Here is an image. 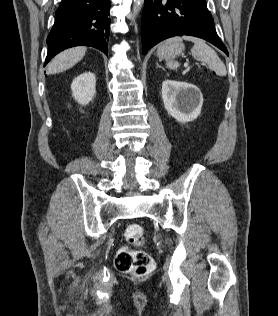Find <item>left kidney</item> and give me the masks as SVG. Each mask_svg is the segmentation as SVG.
<instances>
[{
	"mask_svg": "<svg viewBox=\"0 0 278 316\" xmlns=\"http://www.w3.org/2000/svg\"><path fill=\"white\" fill-rule=\"evenodd\" d=\"M162 98L167 112L179 122L193 121L201 113L203 96L193 84L165 80L162 83Z\"/></svg>",
	"mask_w": 278,
	"mask_h": 316,
	"instance_id": "left-kidney-1",
	"label": "left kidney"
}]
</instances>
